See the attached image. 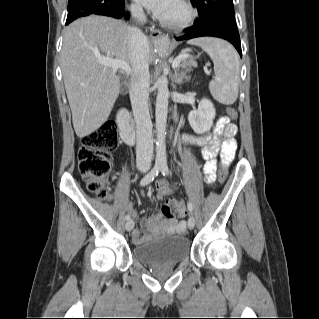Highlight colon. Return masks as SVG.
I'll use <instances>...</instances> for the list:
<instances>
[{"label":"colon","mask_w":319,"mask_h":319,"mask_svg":"<svg viewBox=\"0 0 319 319\" xmlns=\"http://www.w3.org/2000/svg\"><path fill=\"white\" fill-rule=\"evenodd\" d=\"M228 115L235 120L238 113L228 107ZM117 147V127L113 121H107L97 130L82 139L78 152L79 173L87 189L100 199H109L110 192L108 177L112 163V152ZM227 169L222 166L218 173L220 183L225 182ZM163 215L168 219H175L182 213V206L175 200L169 199L162 208Z\"/></svg>","instance_id":"colon-1"}]
</instances>
